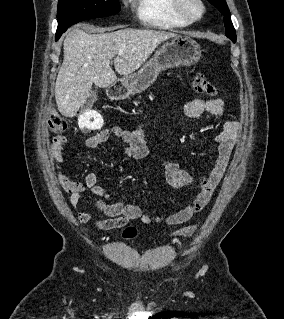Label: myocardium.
Segmentation results:
<instances>
[{
    "label": "myocardium",
    "instance_id": "1",
    "mask_svg": "<svg viewBox=\"0 0 284 319\" xmlns=\"http://www.w3.org/2000/svg\"><path fill=\"white\" fill-rule=\"evenodd\" d=\"M189 0H174V9L177 14L182 17L183 19L187 20L190 23L197 22L201 20L206 12V6L203 0H194L200 7L201 11L200 14L197 16H192L187 11V3Z\"/></svg>",
    "mask_w": 284,
    "mask_h": 319
}]
</instances>
